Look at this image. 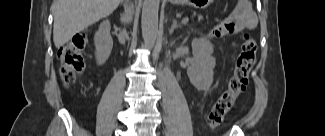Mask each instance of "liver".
Masks as SVG:
<instances>
[{"instance_id":"1","label":"liver","mask_w":325,"mask_h":136,"mask_svg":"<svg viewBox=\"0 0 325 136\" xmlns=\"http://www.w3.org/2000/svg\"><path fill=\"white\" fill-rule=\"evenodd\" d=\"M121 0H55L53 3V40L56 48L76 33L109 16Z\"/></svg>"}]
</instances>
